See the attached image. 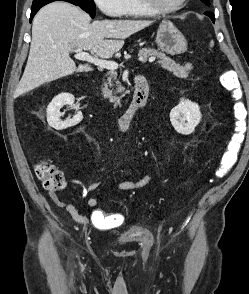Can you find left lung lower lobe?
<instances>
[{"label":"left lung lower lobe","mask_w":249,"mask_h":294,"mask_svg":"<svg viewBox=\"0 0 249 294\" xmlns=\"http://www.w3.org/2000/svg\"><path fill=\"white\" fill-rule=\"evenodd\" d=\"M205 14L211 18V20L213 21V23L215 22V16H214L213 13H211V12H206Z\"/></svg>","instance_id":"0a47b994"}]
</instances>
